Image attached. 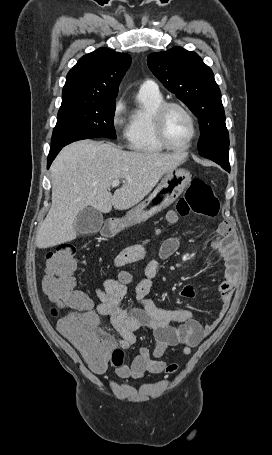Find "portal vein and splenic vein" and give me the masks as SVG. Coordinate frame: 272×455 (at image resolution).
<instances>
[{"instance_id": "18ae733b", "label": "portal vein and splenic vein", "mask_w": 272, "mask_h": 455, "mask_svg": "<svg viewBox=\"0 0 272 455\" xmlns=\"http://www.w3.org/2000/svg\"><path fill=\"white\" fill-rule=\"evenodd\" d=\"M119 184H120V181H119V180H114V181L112 182V186H113V187H117V186H119Z\"/></svg>"}]
</instances>
